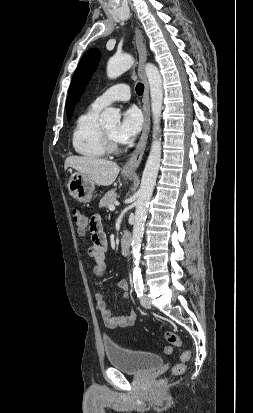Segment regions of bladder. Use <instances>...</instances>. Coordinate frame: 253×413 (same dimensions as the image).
Here are the masks:
<instances>
[{"label": "bladder", "instance_id": "bladder-1", "mask_svg": "<svg viewBox=\"0 0 253 413\" xmlns=\"http://www.w3.org/2000/svg\"><path fill=\"white\" fill-rule=\"evenodd\" d=\"M110 365L123 372L142 375L163 365V358L155 353L132 350L110 341L103 344Z\"/></svg>", "mask_w": 253, "mask_h": 413}]
</instances>
